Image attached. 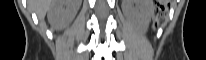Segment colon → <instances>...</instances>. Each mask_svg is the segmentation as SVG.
Instances as JSON below:
<instances>
[{
    "instance_id": "1",
    "label": "colon",
    "mask_w": 206,
    "mask_h": 60,
    "mask_svg": "<svg viewBox=\"0 0 206 60\" xmlns=\"http://www.w3.org/2000/svg\"><path fill=\"white\" fill-rule=\"evenodd\" d=\"M166 9H167L166 1H159L157 3L154 10V20L156 23H159L162 20Z\"/></svg>"
}]
</instances>
